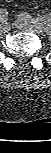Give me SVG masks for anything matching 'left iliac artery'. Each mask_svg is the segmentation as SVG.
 Masks as SVG:
<instances>
[{
    "instance_id": "left-iliac-artery-1",
    "label": "left iliac artery",
    "mask_w": 51,
    "mask_h": 153,
    "mask_svg": "<svg viewBox=\"0 0 51 153\" xmlns=\"http://www.w3.org/2000/svg\"><path fill=\"white\" fill-rule=\"evenodd\" d=\"M21 15L24 16L26 20H30L33 23L40 22L43 25H46L47 28L51 26V13L44 16H39L37 18H32L29 14H26V13H21Z\"/></svg>"
}]
</instances>
